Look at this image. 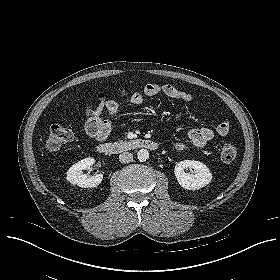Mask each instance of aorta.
I'll use <instances>...</instances> for the list:
<instances>
[{
    "label": "aorta",
    "instance_id": "obj_1",
    "mask_svg": "<svg viewBox=\"0 0 280 280\" xmlns=\"http://www.w3.org/2000/svg\"><path fill=\"white\" fill-rule=\"evenodd\" d=\"M137 158L140 162H144L149 159V152L146 149H140L137 152Z\"/></svg>",
    "mask_w": 280,
    "mask_h": 280
}]
</instances>
